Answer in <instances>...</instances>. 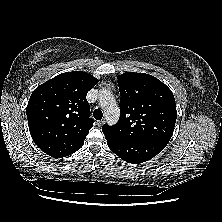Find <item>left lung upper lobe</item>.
<instances>
[{"label": "left lung upper lobe", "mask_w": 222, "mask_h": 222, "mask_svg": "<svg viewBox=\"0 0 222 222\" xmlns=\"http://www.w3.org/2000/svg\"><path fill=\"white\" fill-rule=\"evenodd\" d=\"M120 118L116 125H104L107 131L128 141H149L167 145L177 118L172 91L159 79L126 72L117 77Z\"/></svg>", "instance_id": "1"}]
</instances>
